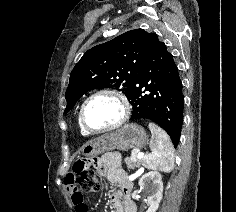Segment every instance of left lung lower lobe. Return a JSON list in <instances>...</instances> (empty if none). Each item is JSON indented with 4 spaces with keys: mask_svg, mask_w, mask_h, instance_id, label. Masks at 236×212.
Returning <instances> with one entry per match:
<instances>
[{
    "mask_svg": "<svg viewBox=\"0 0 236 212\" xmlns=\"http://www.w3.org/2000/svg\"><path fill=\"white\" fill-rule=\"evenodd\" d=\"M128 101L133 107L131 120L155 122L177 146L183 124L182 82L172 54L155 33L149 39Z\"/></svg>",
    "mask_w": 236,
    "mask_h": 212,
    "instance_id": "left-lung-lower-lobe-1",
    "label": "left lung lower lobe"
}]
</instances>
